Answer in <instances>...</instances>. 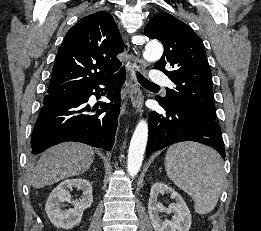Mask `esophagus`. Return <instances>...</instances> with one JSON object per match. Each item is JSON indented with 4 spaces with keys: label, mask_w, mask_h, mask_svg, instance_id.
<instances>
[{
    "label": "esophagus",
    "mask_w": 261,
    "mask_h": 231,
    "mask_svg": "<svg viewBox=\"0 0 261 231\" xmlns=\"http://www.w3.org/2000/svg\"><path fill=\"white\" fill-rule=\"evenodd\" d=\"M139 40V36L135 35L132 37V42L136 43ZM146 66V63L143 59L140 57H136L134 61V68L130 72V79H131V86H130V100L132 107L138 112L141 111L143 102H144V96L143 93L137 83L136 79V70H144Z\"/></svg>",
    "instance_id": "34e87169"
}]
</instances>
